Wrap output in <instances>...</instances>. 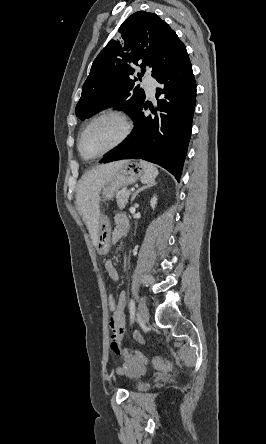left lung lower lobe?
<instances>
[{"label":"left lung lower lobe","instance_id":"1","mask_svg":"<svg viewBox=\"0 0 266 444\" xmlns=\"http://www.w3.org/2000/svg\"><path fill=\"white\" fill-rule=\"evenodd\" d=\"M160 87L154 116H144V103L133 121L131 137L105 155L101 163L120 159H143L167 169L179 181L191 136L196 102V82L187 52L167 72L156 78Z\"/></svg>","mask_w":266,"mask_h":444}]
</instances>
